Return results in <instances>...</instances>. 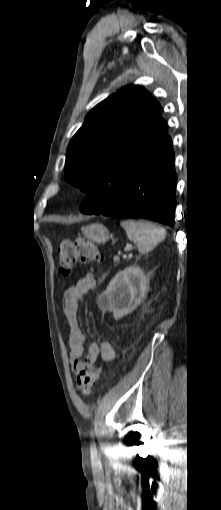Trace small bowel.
Segmentation results:
<instances>
[{"instance_id":"1","label":"small bowel","mask_w":221,"mask_h":510,"mask_svg":"<svg viewBox=\"0 0 221 510\" xmlns=\"http://www.w3.org/2000/svg\"><path fill=\"white\" fill-rule=\"evenodd\" d=\"M96 286L93 274H85L76 284L66 289L63 297L62 312L70 325L69 348L70 362L75 374L81 371H94L97 358L100 356L104 361L111 362L115 359L116 351L109 342L100 344L92 343L87 355L83 358L85 336L79 325V306L86 293Z\"/></svg>"}]
</instances>
